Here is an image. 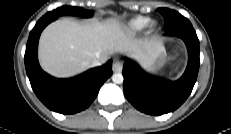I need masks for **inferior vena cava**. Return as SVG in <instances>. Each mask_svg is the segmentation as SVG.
Listing matches in <instances>:
<instances>
[{"label": "inferior vena cava", "mask_w": 231, "mask_h": 134, "mask_svg": "<svg viewBox=\"0 0 231 134\" xmlns=\"http://www.w3.org/2000/svg\"><path fill=\"white\" fill-rule=\"evenodd\" d=\"M105 61L102 59H95L92 63L91 66H100L102 63H104Z\"/></svg>", "instance_id": "inferior-vena-cava-1"}]
</instances>
